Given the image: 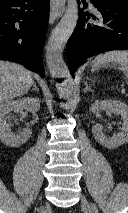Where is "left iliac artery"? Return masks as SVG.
<instances>
[{
  "label": "left iliac artery",
  "instance_id": "1",
  "mask_svg": "<svg viewBox=\"0 0 128 213\" xmlns=\"http://www.w3.org/2000/svg\"><path fill=\"white\" fill-rule=\"evenodd\" d=\"M92 209H93L94 213H98V210L95 205H92Z\"/></svg>",
  "mask_w": 128,
  "mask_h": 213
}]
</instances>
